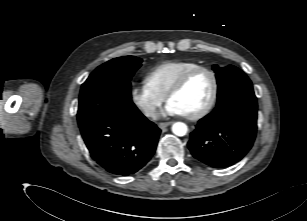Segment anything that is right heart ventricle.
Returning <instances> with one entry per match:
<instances>
[{"mask_svg":"<svg viewBox=\"0 0 307 221\" xmlns=\"http://www.w3.org/2000/svg\"><path fill=\"white\" fill-rule=\"evenodd\" d=\"M197 66L200 64L188 60L165 61L148 71L144 82L154 93L164 98L181 75Z\"/></svg>","mask_w":307,"mask_h":221,"instance_id":"e07e8e85","label":"right heart ventricle"}]
</instances>
